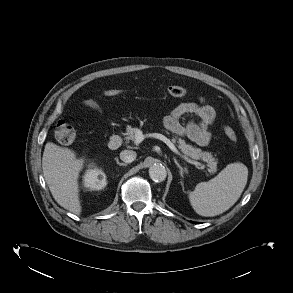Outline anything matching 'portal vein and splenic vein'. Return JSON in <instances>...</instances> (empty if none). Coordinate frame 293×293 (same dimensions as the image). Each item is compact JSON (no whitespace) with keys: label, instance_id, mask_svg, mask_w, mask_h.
I'll use <instances>...</instances> for the list:
<instances>
[{"label":"portal vein and splenic vein","instance_id":"obj_1","mask_svg":"<svg viewBox=\"0 0 293 293\" xmlns=\"http://www.w3.org/2000/svg\"><path fill=\"white\" fill-rule=\"evenodd\" d=\"M145 138H156L159 139L161 141H163L164 143L167 144V146L177 155H179L180 157H182L185 161H187L188 163H191L195 166H200L201 163L191 160L188 157L182 155L178 149L176 148V146L173 144V142L170 141V139H168L166 136L160 134V133H148V134H143L142 131L138 130L136 133V138L134 140V143L136 145L140 144Z\"/></svg>","mask_w":293,"mask_h":293}]
</instances>
